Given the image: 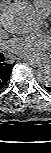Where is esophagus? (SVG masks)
I'll return each mask as SVG.
<instances>
[{
    "label": "esophagus",
    "mask_w": 51,
    "mask_h": 153,
    "mask_svg": "<svg viewBox=\"0 0 51 153\" xmlns=\"http://www.w3.org/2000/svg\"><path fill=\"white\" fill-rule=\"evenodd\" d=\"M24 62L31 66H36V67L39 66V63L34 62V61L24 60Z\"/></svg>",
    "instance_id": "esophagus-1"
}]
</instances>
